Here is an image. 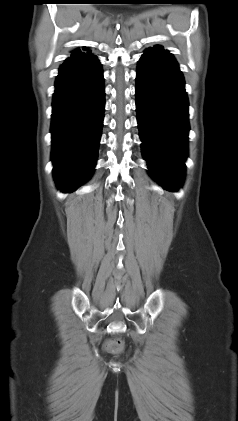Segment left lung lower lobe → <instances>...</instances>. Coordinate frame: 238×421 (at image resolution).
I'll return each instance as SVG.
<instances>
[{
  "label": "left lung lower lobe",
  "instance_id": "1",
  "mask_svg": "<svg viewBox=\"0 0 238 421\" xmlns=\"http://www.w3.org/2000/svg\"><path fill=\"white\" fill-rule=\"evenodd\" d=\"M178 63L161 46L145 50L136 76V110L142 153L150 175L178 190L188 155V99Z\"/></svg>",
  "mask_w": 238,
  "mask_h": 421
}]
</instances>
